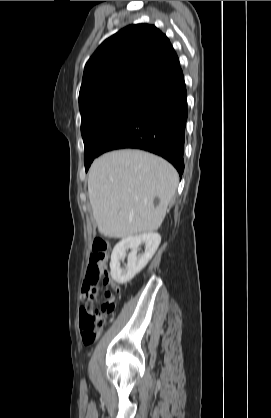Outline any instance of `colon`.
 <instances>
[{
    "instance_id": "obj_1",
    "label": "colon",
    "mask_w": 271,
    "mask_h": 418,
    "mask_svg": "<svg viewBox=\"0 0 271 418\" xmlns=\"http://www.w3.org/2000/svg\"><path fill=\"white\" fill-rule=\"evenodd\" d=\"M108 256V244L102 238H96L92 245V253L89 260L86 280L90 288L83 294L84 307L80 311V328L82 340L85 345L92 344L100 329L107 321L108 315L113 313L115 302L113 295L106 291L105 300L99 308H93V302L96 296L94 285L98 282L106 284L109 277L106 270V261Z\"/></svg>"
}]
</instances>
